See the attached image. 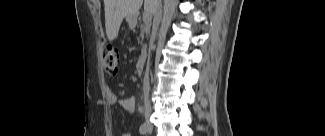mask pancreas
I'll return each instance as SVG.
<instances>
[{
	"mask_svg": "<svg viewBox=\"0 0 325 136\" xmlns=\"http://www.w3.org/2000/svg\"><path fill=\"white\" fill-rule=\"evenodd\" d=\"M145 26H143V27H139V28H137V33H139V38H141V40H146V38L144 37L145 35H144V33H145Z\"/></svg>",
	"mask_w": 325,
	"mask_h": 136,
	"instance_id": "cf45deb5",
	"label": "pancreas"
}]
</instances>
